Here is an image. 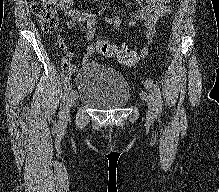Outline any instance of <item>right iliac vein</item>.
I'll list each match as a JSON object with an SVG mask.
<instances>
[{
  "mask_svg": "<svg viewBox=\"0 0 219 192\" xmlns=\"http://www.w3.org/2000/svg\"><path fill=\"white\" fill-rule=\"evenodd\" d=\"M75 101H76V93L75 91L72 90L71 84L68 83L65 87V98H64V103L61 113V118L63 120L69 117L70 106L74 105Z\"/></svg>",
  "mask_w": 219,
  "mask_h": 192,
  "instance_id": "right-iliac-vein-1",
  "label": "right iliac vein"
}]
</instances>
